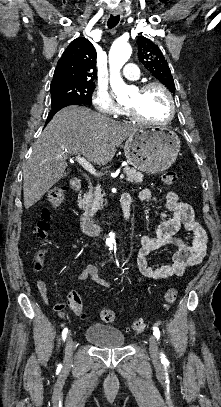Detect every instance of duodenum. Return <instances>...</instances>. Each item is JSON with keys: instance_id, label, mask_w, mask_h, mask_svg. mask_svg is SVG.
Returning <instances> with one entry per match:
<instances>
[{"instance_id": "410a0bca", "label": "duodenum", "mask_w": 221, "mask_h": 407, "mask_svg": "<svg viewBox=\"0 0 221 407\" xmlns=\"http://www.w3.org/2000/svg\"><path fill=\"white\" fill-rule=\"evenodd\" d=\"M82 185L80 183H70V189L73 192L80 193ZM131 197L128 193H123L120 199L121 207H122V219L124 223H128L130 219L131 213ZM80 223L84 232L87 235H97L101 231H103L104 226L101 224L96 223L86 212H82L79 216Z\"/></svg>"}]
</instances>
